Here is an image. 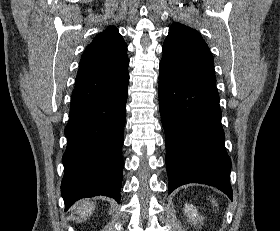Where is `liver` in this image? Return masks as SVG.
I'll list each match as a JSON object with an SVG mask.
<instances>
[{"label": "liver", "instance_id": "liver-1", "mask_svg": "<svg viewBox=\"0 0 280 231\" xmlns=\"http://www.w3.org/2000/svg\"><path fill=\"white\" fill-rule=\"evenodd\" d=\"M95 209L94 201H89V199H80L78 205H76V211L79 213L80 217L87 219V215H92Z\"/></svg>", "mask_w": 280, "mask_h": 231}]
</instances>
